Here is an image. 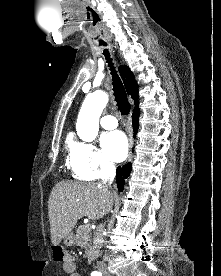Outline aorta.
<instances>
[{"instance_id":"762f6f07","label":"aorta","mask_w":221,"mask_h":276,"mask_svg":"<svg viewBox=\"0 0 221 276\" xmlns=\"http://www.w3.org/2000/svg\"><path fill=\"white\" fill-rule=\"evenodd\" d=\"M108 103V95L103 91L87 95L80 109L76 130L85 142L95 140L99 131V118Z\"/></svg>"}]
</instances>
